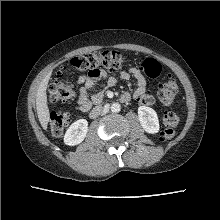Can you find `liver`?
I'll return each mask as SVG.
<instances>
[{
    "label": "liver",
    "mask_w": 220,
    "mask_h": 220,
    "mask_svg": "<svg viewBox=\"0 0 220 220\" xmlns=\"http://www.w3.org/2000/svg\"><path fill=\"white\" fill-rule=\"evenodd\" d=\"M51 77L49 72L40 82L36 93V110L40 124L44 130H47L48 122L50 119V112L47 103V86Z\"/></svg>",
    "instance_id": "1"
}]
</instances>
